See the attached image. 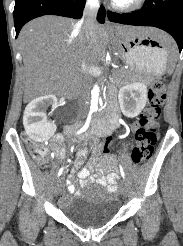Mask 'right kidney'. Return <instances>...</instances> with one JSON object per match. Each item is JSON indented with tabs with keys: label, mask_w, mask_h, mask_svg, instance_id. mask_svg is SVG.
I'll list each match as a JSON object with an SVG mask.
<instances>
[{
	"label": "right kidney",
	"mask_w": 183,
	"mask_h": 246,
	"mask_svg": "<svg viewBox=\"0 0 183 246\" xmlns=\"http://www.w3.org/2000/svg\"><path fill=\"white\" fill-rule=\"evenodd\" d=\"M56 102L54 95H44L31 101L25 108L23 124L26 133L33 141L44 142L54 135L56 125L54 122L47 121L45 110Z\"/></svg>",
	"instance_id": "right-kidney-1"
}]
</instances>
